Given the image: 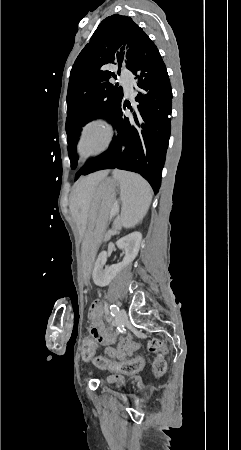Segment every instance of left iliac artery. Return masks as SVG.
Instances as JSON below:
<instances>
[{
    "instance_id": "44dca946",
    "label": "left iliac artery",
    "mask_w": 241,
    "mask_h": 450,
    "mask_svg": "<svg viewBox=\"0 0 241 450\" xmlns=\"http://www.w3.org/2000/svg\"><path fill=\"white\" fill-rule=\"evenodd\" d=\"M110 311L112 316H118L119 314V307L115 304L110 305Z\"/></svg>"
}]
</instances>
